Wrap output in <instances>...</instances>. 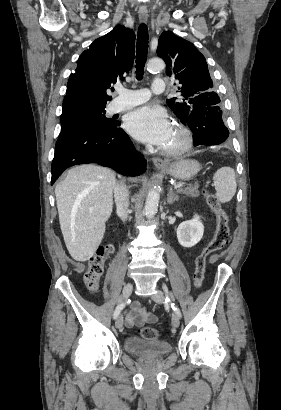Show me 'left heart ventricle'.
<instances>
[{
	"label": "left heart ventricle",
	"mask_w": 281,
	"mask_h": 410,
	"mask_svg": "<svg viewBox=\"0 0 281 410\" xmlns=\"http://www.w3.org/2000/svg\"><path fill=\"white\" fill-rule=\"evenodd\" d=\"M180 142H181L180 135L173 129L169 139L162 147L166 149H172V148L177 147L180 144Z\"/></svg>",
	"instance_id": "obj_1"
}]
</instances>
